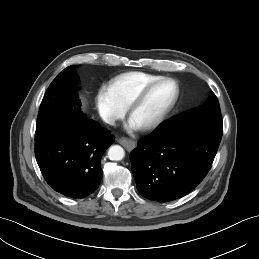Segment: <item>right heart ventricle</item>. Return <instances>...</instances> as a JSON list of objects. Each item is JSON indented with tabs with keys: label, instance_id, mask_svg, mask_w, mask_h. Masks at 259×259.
Listing matches in <instances>:
<instances>
[{
	"label": "right heart ventricle",
	"instance_id": "e07e8e85",
	"mask_svg": "<svg viewBox=\"0 0 259 259\" xmlns=\"http://www.w3.org/2000/svg\"><path fill=\"white\" fill-rule=\"evenodd\" d=\"M161 77L139 71L127 72L112 78L105 85V89L119 106L126 109L130 100L142 87Z\"/></svg>",
	"mask_w": 259,
	"mask_h": 259
}]
</instances>
